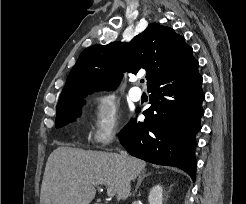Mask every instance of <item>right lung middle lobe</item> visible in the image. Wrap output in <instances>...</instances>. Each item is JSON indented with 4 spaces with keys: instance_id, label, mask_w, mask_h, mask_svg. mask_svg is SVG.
<instances>
[{
    "instance_id": "1",
    "label": "right lung middle lobe",
    "mask_w": 246,
    "mask_h": 204,
    "mask_svg": "<svg viewBox=\"0 0 246 204\" xmlns=\"http://www.w3.org/2000/svg\"><path fill=\"white\" fill-rule=\"evenodd\" d=\"M86 95L67 97L58 101L56 107V127H62L74 122L80 116L81 101Z\"/></svg>"
}]
</instances>
